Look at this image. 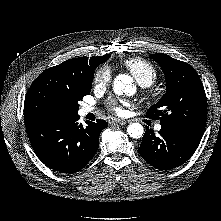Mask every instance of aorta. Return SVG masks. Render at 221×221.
Listing matches in <instances>:
<instances>
[{
	"mask_svg": "<svg viewBox=\"0 0 221 221\" xmlns=\"http://www.w3.org/2000/svg\"><path fill=\"white\" fill-rule=\"evenodd\" d=\"M132 78L128 75L121 74L115 78L113 89L116 94L128 93L132 88ZM128 135L131 138L139 139L144 133V128L139 123H132L127 127Z\"/></svg>",
	"mask_w": 221,
	"mask_h": 221,
	"instance_id": "obj_1",
	"label": "aorta"
}]
</instances>
